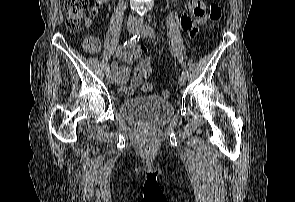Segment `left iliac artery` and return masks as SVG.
<instances>
[{"label": "left iliac artery", "mask_w": 295, "mask_h": 202, "mask_svg": "<svg viewBox=\"0 0 295 202\" xmlns=\"http://www.w3.org/2000/svg\"><path fill=\"white\" fill-rule=\"evenodd\" d=\"M148 34H149V36L151 38H153V39L156 38L155 30L152 27H149V26H148ZM181 76L185 78L186 77V72L182 71Z\"/></svg>", "instance_id": "obj_1"}]
</instances>
